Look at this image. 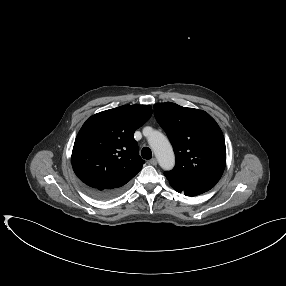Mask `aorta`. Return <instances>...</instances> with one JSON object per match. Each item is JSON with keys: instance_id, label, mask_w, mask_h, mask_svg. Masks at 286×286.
<instances>
[{"instance_id": "1", "label": "aorta", "mask_w": 286, "mask_h": 286, "mask_svg": "<svg viewBox=\"0 0 286 286\" xmlns=\"http://www.w3.org/2000/svg\"><path fill=\"white\" fill-rule=\"evenodd\" d=\"M148 143L161 168L164 170H171L175 165V157L167 137L161 132L154 130L148 135Z\"/></svg>"}]
</instances>
